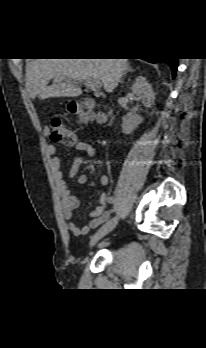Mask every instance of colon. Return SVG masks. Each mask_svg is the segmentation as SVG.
Returning a JSON list of instances; mask_svg holds the SVG:
<instances>
[{
	"mask_svg": "<svg viewBox=\"0 0 206 348\" xmlns=\"http://www.w3.org/2000/svg\"><path fill=\"white\" fill-rule=\"evenodd\" d=\"M67 111L70 114H79V121L86 123L90 120H101L100 116H96L93 113H79V107L76 103H72L68 106ZM49 138L53 142H61L65 144H73L76 141L75 132L69 127L62 115H54L50 120V133Z\"/></svg>",
	"mask_w": 206,
	"mask_h": 348,
	"instance_id": "5ec220e1",
	"label": "colon"
}]
</instances>
